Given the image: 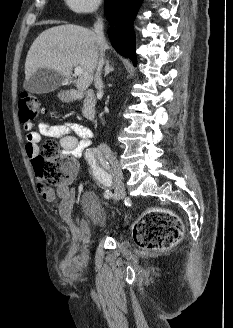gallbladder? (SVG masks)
I'll use <instances>...</instances> for the list:
<instances>
[{"label":"gallbladder","instance_id":"gallbladder-1","mask_svg":"<svg viewBox=\"0 0 233 328\" xmlns=\"http://www.w3.org/2000/svg\"><path fill=\"white\" fill-rule=\"evenodd\" d=\"M62 77L48 68H40L24 82L27 91L36 94L49 93L61 86Z\"/></svg>","mask_w":233,"mask_h":328}]
</instances>
